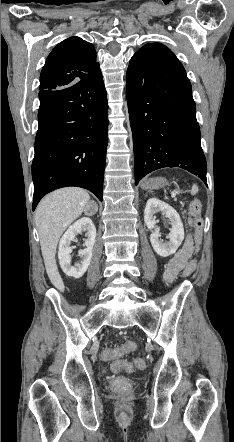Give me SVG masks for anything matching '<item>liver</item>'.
<instances>
[{"label":"liver","mask_w":234,"mask_h":442,"mask_svg":"<svg viewBox=\"0 0 234 442\" xmlns=\"http://www.w3.org/2000/svg\"><path fill=\"white\" fill-rule=\"evenodd\" d=\"M89 200L85 190L67 187L48 194L36 209V226L46 272L51 283L61 292L65 286L56 264V248L63 232L82 214Z\"/></svg>","instance_id":"liver-1"}]
</instances>
